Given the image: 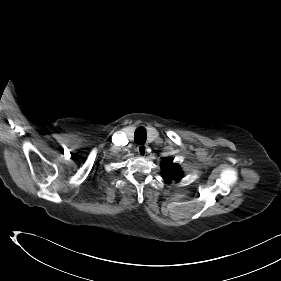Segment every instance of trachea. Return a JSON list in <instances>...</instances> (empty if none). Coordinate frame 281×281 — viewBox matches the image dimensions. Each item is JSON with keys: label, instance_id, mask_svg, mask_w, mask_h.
<instances>
[{"label": "trachea", "instance_id": "trachea-1", "mask_svg": "<svg viewBox=\"0 0 281 281\" xmlns=\"http://www.w3.org/2000/svg\"><path fill=\"white\" fill-rule=\"evenodd\" d=\"M135 142L138 144H144L146 142V138H147V134H146V130L143 127H139L135 133Z\"/></svg>", "mask_w": 281, "mask_h": 281}]
</instances>
